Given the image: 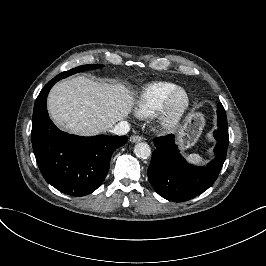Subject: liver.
<instances>
[{
  "instance_id": "obj_1",
  "label": "liver",
  "mask_w": 266,
  "mask_h": 266,
  "mask_svg": "<svg viewBox=\"0 0 266 266\" xmlns=\"http://www.w3.org/2000/svg\"><path fill=\"white\" fill-rule=\"evenodd\" d=\"M130 103L123 86L97 84L83 76L57 83L48 97L56 125L79 135L106 130L124 116Z\"/></svg>"
}]
</instances>
